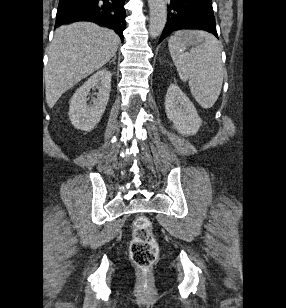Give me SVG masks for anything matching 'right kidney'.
Listing matches in <instances>:
<instances>
[{
	"label": "right kidney",
	"instance_id": "right-kidney-1",
	"mask_svg": "<svg viewBox=\"0 0 286 308\" xmlns=\"http://www.w3.org/2000/svg\"><path fill=\"white\" fill-rule=\"evenodd\" d=\"M111 77L110 71L102 69L75 91L70 101L68 113L75 128L89 132L100 122L109 100ZM95 87L99 90L95 94L97 98L88 104L87 96Z\"/></svg>",
	"mask_w": 286,
	"mask_h": 308
}]
</instances>
